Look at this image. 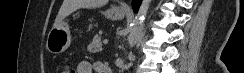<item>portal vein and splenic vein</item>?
<instances>
[{
	"instance_id": "18ae733b",
	"label": "portal vein and splenic vein",
	"mask_w": 244,
	"mask_h": 73,
	"mask_svg": "<svg viewBox=\"0 0 244 73\" xmlns=\"http://www.w3.org/2000/svg\"><path fill=\"white\" fill-rule=\"evenodd\" d=\"M103 43H104L105 45L108 44V40L105 39V40L103 41Z\"/></svg>"
}]
</instances>
